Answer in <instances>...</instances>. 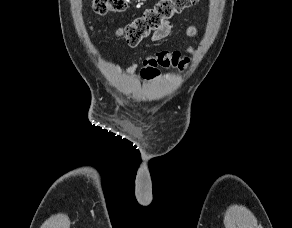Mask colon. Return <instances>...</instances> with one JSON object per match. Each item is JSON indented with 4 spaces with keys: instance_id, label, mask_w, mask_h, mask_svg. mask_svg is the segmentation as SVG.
<instances>
[{
    "instance_id": "obj_1",
    "label": "colon",
    "mask_w": 292,
    "mask_h": 228,
    "mask_svg": "<svg viewBox=\"0 0 292 228\" xmlns=\"http://www.w3.org/2000/svg\"><path fill=\"white\" fill-rule=\"evenodd\" d=\"M199 0H159L154 7L130 24L118 29V35L129 45L136 46L152 32L157 31L174 15L195 5ZM127 6V0H92L91 8L96 14L122 12ZM158 67H174L180 70L186 67L183 57L177 52L161 51L147 58L143 63L141 75L151 79L158 73Z\"/></svg>"
}]
</instances>
